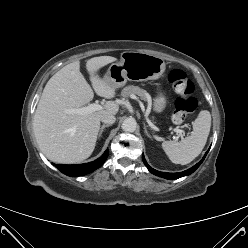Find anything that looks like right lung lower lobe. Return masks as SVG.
<instances>
[{"mask_svg": "<svg viewBox=\"0 0 248 248\" xmlns=\"http://www.w3.org/2000/svg\"><path fill=\"white\" fill-rule=\"evenodd\" d=\"M109 150L107 149L104 154L96 159L95 161L85 163V164H75V165H64V164H59L56 165V167L65 175L68 176H82L86 175L88 173L93 172L94 170L98 169L103 165L105 160L108 157ZM55 165V164H53Z\"/></svg>", "mask_w": 248, "mask_h": 248, "instance_id": "98d812e1", "label": "right lung lower lobe"}]
</instances>
